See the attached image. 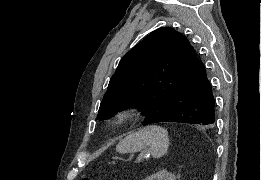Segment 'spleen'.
I'll return each mask as SVG.
<instances>
[{"label": "spleen", "instance_id": "1", "mask_svg": "<svg viewBox=\"0 0 261 180\" xmlns=\"http://www.w3.org/2000/svg\"><path fill=\"white\" fill-rule=\"evenodd\" d=\"M148 148L152 158H162L169 148L168 132L161 126H146L120 140L116 146L118 154H135Z\"/></svg>", "mask_w": 261, "mask_h": 180}]
</instances>
